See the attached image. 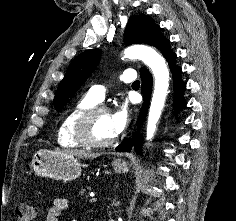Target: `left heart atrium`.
<instances>
[{
  "label": "left heart atrium",
  "mask_w": 236,
  "mask_h": 221,
  "mask_svg": "<svg viewBox=\"0 0 236 221\" xmlns=\"http://www.w3.org/2000/svg\"><path fill=\"white\" fill-rule=\"evenodd\" d=\"M111 121L114 133L116 135L122 133L130 122V112L125 105L119 107L111 114Z\"/></svg>",
  "instance_id": "39dd6f15"
}]
</instances>
